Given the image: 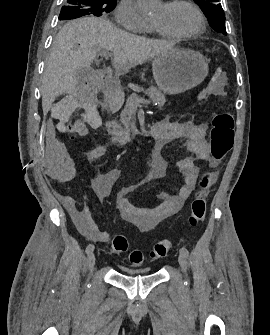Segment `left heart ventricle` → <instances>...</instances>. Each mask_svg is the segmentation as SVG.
I'll list each match as a JSON object with an SVG mask.
<instances>
[{
  "instance_id": "1",
  "label": "left heart ventricle",
  "mask_w": 270,
  "mask_h": 335,
  "mask_svg": "<svg viewBox=\"0 0 270 335\" xmlns=\"http://www.w3.org/2000/svg\"><path fill=\"white\" fill-rule=\"evenodd\" d=\"M151 24L170 34H185L198 29L199 20L188 5L169 8L163 4L150 19Z\"/></svg>"
}]
</instances>
